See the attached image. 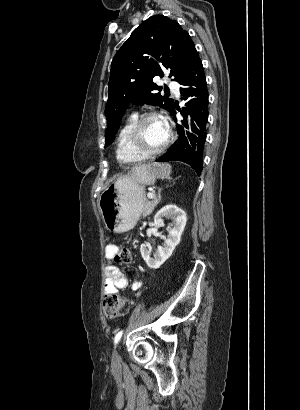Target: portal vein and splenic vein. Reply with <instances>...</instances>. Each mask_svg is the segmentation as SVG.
I'll list each match as a JSON object with an SVG mask.
<instances>
[{
  "mask_svg": "<svg viewBox=\"0 0 300 410\" xmlns=\"http://www.w3.org/2000/svg\"><path fill=\"white\" fill-rule=\"evenodd\" d=\"M147 197L150 198V199H154V198H155V195H154L153 193L149 192V193L147 194Z\"/></svg>",
  "mask_w": 300,
  "mask_h": 410,
  "instance_id": "18ae733b",
  "label": "portal vein and splenic vein"
}]
</instances>
